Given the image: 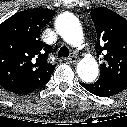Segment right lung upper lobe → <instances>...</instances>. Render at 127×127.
Masks as SVG:
<instances>
[{
	"mask_svg": "<svg viewBox=\"0 0 127 127\" xmlns=\"http://www.w3.org/2000/svg\"><path fill=\"white\" fill-rule=\"evenodd\" d=\"M54 10L28 9L0 24V85L45 81L55 69L48 61L52 47L40 40Z\"/></svg>",
	"mask_w": 127,
	"mask_h": 127,
	"instance_id": "cb5924a9",
	"label": "right lung upper lobe"
}]
</instances>
